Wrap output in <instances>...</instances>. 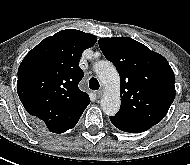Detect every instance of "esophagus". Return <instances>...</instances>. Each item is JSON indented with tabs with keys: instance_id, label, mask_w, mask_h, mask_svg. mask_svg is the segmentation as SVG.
Listing matches in <instances>:
<instances>
[{
	"instance_id": "obj_1",
	"label": "esophagus",
	"mask_w": 190,
	"mask_h": 165,
	"mask_svg": "<svg viewBox=\"0 0 190 165\" xmlns=\"http://www.w3.org/2000/svg\"><path fill=\"white\" fill-rule=\"evenodd\" d=\"M102 93H103V90L100 89V90L95 92V95H96L97 98H100L102 96Z\"/></svg>"
}]
</instances>
